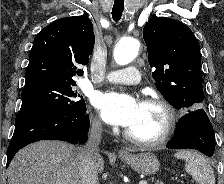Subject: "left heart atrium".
Returning <instances> with one entry per match:
<instances>
[{"mask_svg":"<svg viewBox=\"0 0 224 184\" xmlns=\"http://www.w3.org/2000/svg\"><path fill=\"white\" fill-rule=\"evenodd\" d=\"M102 118L109 124L130 127L138 116L141 103L127 94H100L94 101Z\"/></svg>","mask_w":224,"mask_h":184,"instance_id":"39dd6f15","label":"left heart atrium"}]
</instances>
